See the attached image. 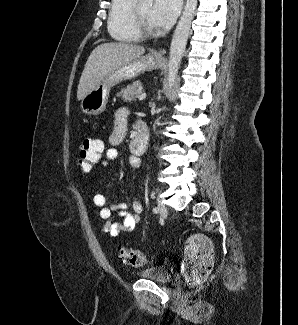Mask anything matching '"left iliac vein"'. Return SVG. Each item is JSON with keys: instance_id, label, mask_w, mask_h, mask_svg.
Masks as SVG:
<instances>
[{"instance_id": "1", "label": "left iliac vein", "mask_w": 298, "mask_h": 325, "mask_svg": "<svg viewBox=\"0 0 298 325\" xmlns=\"http://www.w3.org/2000/svg\"><path fill=\"white\" fill-rule=\"evenodd\" d=\"M158 210H159V213L162 217H166L167 216V208L166 206L161 202V201H158Z\"/></svg>"}]
</instances>
